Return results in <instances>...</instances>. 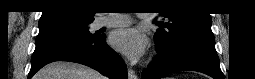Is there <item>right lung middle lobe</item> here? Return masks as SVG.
Masks as SVG:
<instances>
[{
    "mask_svg": "<svg viewBox=\"0 0 255 79\" xmlns=\"http://www.w3.org/2000/svg\"><path fill=\"white\" fill-rule=\"evenodd\" d=\"M92 22L93 20L84 21L70 15L40 19V31L36 40L52 36L71 37L85 40L92 39L96 36V34L89 32V24Z\"/></svg>",
    "mask_w": 255,
    "mask_h": 79,
    "instance_id": "1",
    "label": "right lung middle lobe"
}]
</instances>
